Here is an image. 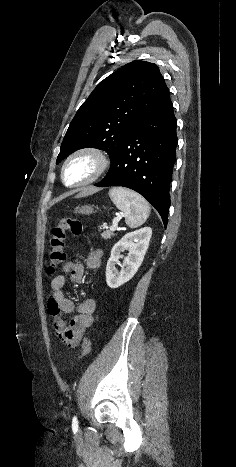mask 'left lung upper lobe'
<instances>
[{
  "label": "left lung upper lobe",
  "instance_id": "obj_1",
  "mask_svg": "<svg viewBox=\"0 0 236 467\" xmlns=\"http://www.w3.org/2000/svg\"><path fill=\"white\" fill-rule=\"evenodd\" d=\"M169 92L154 63L136 60L104 79L81 105L66 132L56 163L81 148L116 156L128 132Z\"/></svg>",
  "mask_w": 236,
  "mask_h": 467
}]
</instances>
